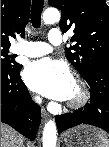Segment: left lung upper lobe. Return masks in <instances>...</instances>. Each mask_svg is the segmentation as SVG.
<instances>
[{
    "instance_id": "5c2ea615",
    "label": "left lung upper lobe",
    "mask_w": 109,
    "mask_h": 147,
    "mask_svg": "<svg viewBox=\"0 0 109 147\" xmlns=\"http://www.w3.org/2000/svg\"><path fill=\"white\" fill-rule=\"evenodd\" d=\"M61 10L63 33L74 35V45L66 48L67 60L86 79L92 67L109 66V6L105 0H49Z\"/></svg>"
}]
</instances>
